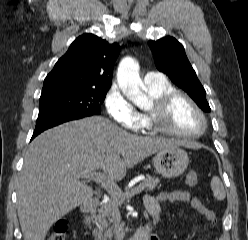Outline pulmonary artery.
Masks as SVG:
<instances>
[{
  "instance_id": "1",
  "label": "pulmonary artery",
  "mask_w": 248,
  "mask_h": 240,
  "mask_svg": "<svg viewBox=\"0 0 248 240\" xmlns=\"http://www.w3.org/2000/svg\"><path fill=\"white\" fill-rule=\"evenodd\" d=\"M164 80V77L161 73L155 71H148L144 75V83H153V82H161Z\"/></svg>"
}]
</instances>
